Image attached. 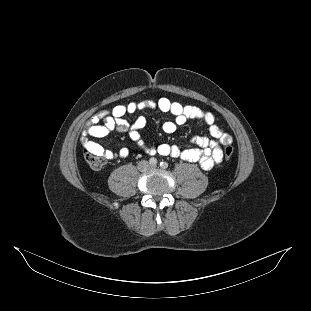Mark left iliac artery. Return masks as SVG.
<instances>
[{"instance_id":"1","label":"left iliac artery","mask_w":311,"mask_h":311,"mask_svg":"<svg viewBox=\"0 0 311 311\" xmlns=\"http://www.w3.org/2000/svg\"><path fill=\"white\" fill-rule=\"evenodd\" d=\"M160 167L163 168V169H166L168 167V163L167 162H160Z\"/></svg>"}]
</instances>
